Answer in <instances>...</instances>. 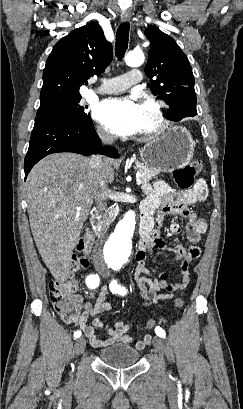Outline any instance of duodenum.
Instances as JSON below:
<instances>
[{
  "mask_svg": "<svg viewBox=\"0 0 243 409\" xmlns=\"http://www.w3.org/2000/svg\"><path fill=\"white\" fill-rule=\"evenodd\" d=\"M102 209L95 207L91 212V225L98 236L103 234ZM153 213L148 210H142V217L140 222V235L142 239L148 238L154 230Z\"/></svg>",
  "mask_w": 243,
  "mask_h": 409,
  "instance_id": "1",
  "label": "duodenum"
}]
</instances>
